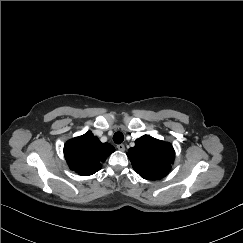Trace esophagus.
Returning a JSON list of instances; mask_svg holds the SVG:
<instances>
[{
    "mask_svg": "<svg viewBox=\"0 0 243 243\" xmlns=\"http://www.w3.org/2000/svg\"><path fill=\"white\" fill-rule=\"evenodd\" d=\"M117 149H118L119 151H125V146H124V144H118V145H117Z\"/></svg>",
    "mask_w": 243,
    "mask_h": 243,
    "instance_id": "esophagus-1",
    "label": "esophagus"
}]
</instances>
